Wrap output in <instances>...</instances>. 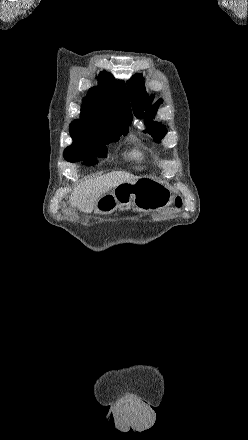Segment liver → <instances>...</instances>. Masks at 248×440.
Instances as JSON below:
<instances>
[{
	"label": "liver",
	"mask_w": 248,
	"mask_h": 440,
	"mask_svg": "<svg viewBox=\"0 0 248 440\" xmlns=\"http://www.w3.org/2000/svg\"><path fill=\"white\" fill-rule=\"evenodd\" d=\"M139 177L124 171H114L87 180L77 185L69 198L72 206L80 211L91 213L96 208L97 201L111 189L122 183H134Z\"/></svg>",
	"instance_id": "6515ba94"
}]
</instances>
